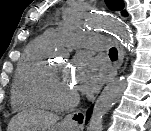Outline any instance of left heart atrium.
<instances>
[{
    "label": "left heart atrium",
    "mask_w": 151,
    "mask_h": 131,
    "mask_svg": "<svg viewBox=\"0 0 151 131\" xmlns=\"http://www.w3.org/2000/svg\"><path fill=\"white\" fill-rule=\"evenodd\" d=\"M74 68L72 77L75 89L83 93L93 92L102 77L98 64L89 55L80 54L74 60Z\"/></svg>",
    "instance_id": "obj_1"
}]
</instances>
